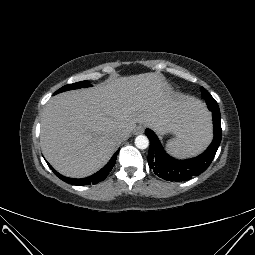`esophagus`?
Segmentation results:
<instances>
[{"label":"esophagus","instance_id":"obj_1","mask_svg":"<svg viewBox=\"0 0 255 255\" xmlns=\"http://www.w3.org/2000/svg\"><path fill=\"white\" fill-rule=\"evenodd\" d=\"M144 132V127L142 125H138L135 129H134V134L138 135V134H142Z\"/></svg>","mask_w":255,"mask_h":255}]
</instances>
